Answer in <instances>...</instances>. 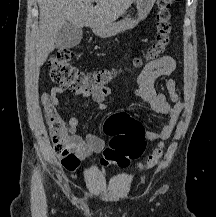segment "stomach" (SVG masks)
I'll list each match as a JSON object with an SVG mask.
<instances>
[{
  "label": "stomach",
  "instance_id": "1",
  "mask_svg": "<svg viewBox=\"0 0 216 217\" xmlns=\"http://www.w3.org/2000/svg\"><path fill=\"white\" fill-rule=\"evenodd\" d=\"M156 0H135L138 10L137 19H126L110 26L96 27L94 33L100 37H110L122 31L134 28L141 20L145 19L150 13Z\"/></svg>",
  "mask_w": 216,
  "mask_h": 217
}]
</instances>
